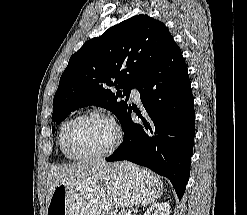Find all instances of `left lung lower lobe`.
Returning a JSON list of instances; mask_svg holds the SVG:
<instances>
[{"instance_id":"0a47b994","label":"left lung lower lobe","mask_w":247,"mask_h":215,"mask_svg":"<svg viewBox=\"0 0 247 215\" xmlns=\"http://www.w3.org/2000/svg\"><path fill=\"white\" fill-rule=\"evenodd\" d=\"M136 89L144 106L137 112L141 124L132 121L130 107L120 122L123 142L106 161L150 168L167 177L181 199L190 175L195 112L187 66L173 38Z\"/></svg>"}]
</instances>
